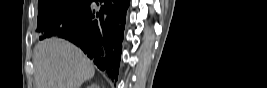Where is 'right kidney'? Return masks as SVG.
Returning a JSON list of instances; mask_svg holds the SVG:
<instances>
[{
  "label": "right kidney",
  "mask_w": 267,
  "mask_h": 88,
  "mask_svg": "<svg viewBox=\"0 0 267 88\" xmlns=\"http://www.w3.org/2000/svg\"><path fill=\"white\" fill-rule=\"evenodd\" d=\"M88 88H100L96 83H93L88 86Z\"/></svg>",
  "instance_id": "1"
}]
</instances>
